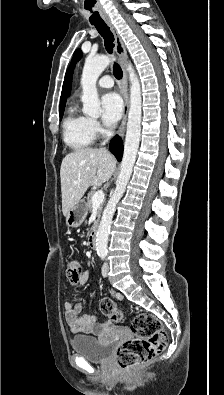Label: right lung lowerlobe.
<instances>
[{
	"label": "right lung lower lobe",
	"instance_id": "right-lung-lower-lobe-1",
	"mask_svg": "<svg viewBox=\"0 0 224 395\" xmlns=\"http://www.w3.org/2000/svg\"><path fill=\"white\" fill-rule=\"evenodd\" d=\"M110 151L117 158L118 161H121L123 155V146L121 138L115 136L110 142Z\"/></svg>",
	"mask_w": 224,
	"mask_h": 395
}]
</instances>
